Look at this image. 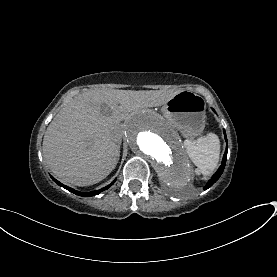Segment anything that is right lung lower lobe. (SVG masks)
<instances>
[{"label":"right lung lower lobe","mask_w":277,"mask_h":277,"mask_svg":"<svg viewBox=\"0 0 277 277\" xmlns=\"http://www.w3.org/2000/svg\"><path fill=\"white\" fill-rule=\"evenodd\" d=\"M51 178H52L58 185H60V186H62L63 188L67 189L68 191H70V192H72V193H74V194H76V195L85 196V197H90V196L97 195V194H99L100 192H102L103 190H105V189L109 188L110 186H112L113 183H114V182H112V183L109 184L107 187H104V188H102V189H99V190H96V191H92V192H88V193H84V192H78V191H76V190H74V189H72V188H70V187H68V186L63 185L62 183H60L59 181H57L56 179H54L52 176H51Z\"/></svg>","instance_id":"98d812e1"}]
</instances>
